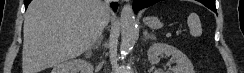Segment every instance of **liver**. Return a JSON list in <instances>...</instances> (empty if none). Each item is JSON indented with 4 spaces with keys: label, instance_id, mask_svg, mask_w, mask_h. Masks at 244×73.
<instances>
[{
    "label": "liver",
    "instance_id": "6515ba94",
    "mask_svg": "<svg viewBox=\"0 0 244 73\" xmlns=\"http://www.w3.org/2000/svg\"><path fill=\"white\" fill-rule=\"evenodd\" d=\"M103 28L100 0H33L23 27V73H39L80 56Z\"/></svg>",
    "mask_w": 244,
    "mask_h": 73
}]
</instances>
